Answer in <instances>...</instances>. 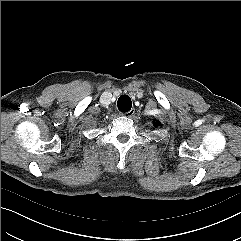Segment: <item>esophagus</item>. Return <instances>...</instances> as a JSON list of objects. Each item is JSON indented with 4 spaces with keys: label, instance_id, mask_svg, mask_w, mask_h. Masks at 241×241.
Listing matches in <instances>:
<instances>
[{
    "label": "esophagus",
    "instance_id": "esophagus-1",
    "mask_svg": "<svg viewBox=\"0 0 241 241\" xmlns=\"http://www.w3.org/2000/svg\"><path fill=\"white\" fill-rule=\"evenodd\" d=\"M134 113H135V109H131L130 111L122 113L121 115H124L126 117H132Z\"/></svg>",
    "mask_w": 241,
    "mask_h": 241
}]
</instances>
